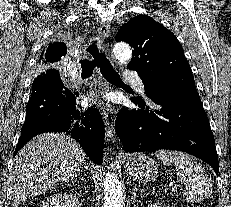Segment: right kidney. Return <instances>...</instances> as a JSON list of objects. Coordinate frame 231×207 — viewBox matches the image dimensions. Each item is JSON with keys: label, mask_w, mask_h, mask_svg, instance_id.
<instances>
[{"label": "right kidney", "mask_w": 231, "mask_h": 207, "mask_svg": "<svg viewBox=\"0 0 231 207\" xmlns=\"http://www.w3.org/2000/svg\"><path fill=\"white\" fill-rule=\"evenodd\" d=\"M41 207H81L77 196L65 192H58L47 197Z\"/></svg>", "instance_id": "obj_1"}]
</instances>
